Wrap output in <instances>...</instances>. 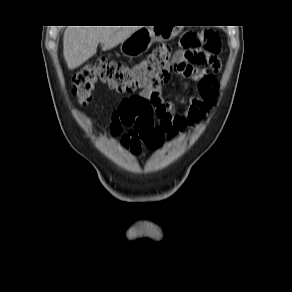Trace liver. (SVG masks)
<instances>
[{
	"label": "liver",
	"mask_w": 292,
	"mask_h": 292,
	"mask_svg": "<svg viewBox=\"0 0 292 292\" xmlns=\"http://www.w3.org/2000/svg\"><path fill=\"white\" fill-rule=\"evenodd\" d=\"M136 26H69L63 37V53L69 69H75L97 52L99 43L109 50L125 41Z\"/></svg>",
	"instance_id": "obj_1"
}]
</instances>
